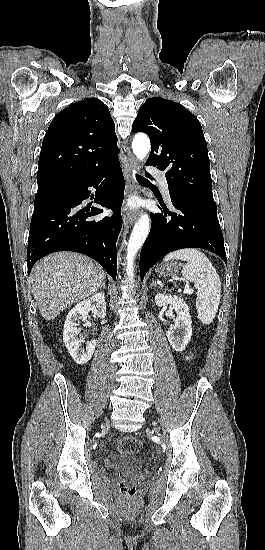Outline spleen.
<instances>
[{
    "label": "spleen",
    "mask_w": 265,
    "mask_h": 550,
    "mask_svg": "<svg viewBox=\"0 0 265 550\" xmlns=\"http://www.w3.org/2000/svg\"><path fill=\"white\" fill-rule=\"evenodd\" d=\"M173 259L187 261L182 275L184 279L194 282L198 290V318L203 324L212 323L221 298V281L212 263L204 253L193 248L177 250L164 257L165 262Z\"/></svg>",
    "instance_id": "obj_1"
}]
</instances>
